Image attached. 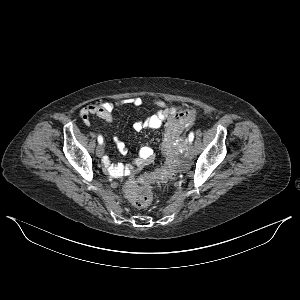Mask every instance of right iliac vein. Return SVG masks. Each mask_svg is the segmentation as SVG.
Returning a JSON list of instances; mask_svg holds the SVG:
<instances>
[{
	"mask_svg": "<svg viewBox=\"0 0 300 300\" xmlns=\"http://www.w3.org/2000/svg\"><path fill=\"white\" fill-rule=\"evenodd\" d=\"M104 154V147L103 145H99L97 148H96V155L98 157H102Z\"/></svg>",
	"mask_w": 300,
	"mask_h": 300,
	"instance_id": "63e3f726",
	"label": "right iliac vein"
}]
</instances>
